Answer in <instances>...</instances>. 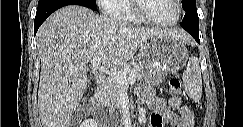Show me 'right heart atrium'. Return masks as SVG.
Instances as JSON below:
<instances>
[{"instance_id":"1","label":"right heart atrium","mask_w":243,"mask_h":127,"mask_svg":"<svg viewBox=\"0 0 243 127\" xmlns=\"http://www.w3.org/2000/svg\"><path fill=\"white\" fill-rule=\"evenodd\" d=\"M115 0H97V4L100 6L103 13L111 15L113 14L112 3Z\"/></svg>"}]
</instances>
